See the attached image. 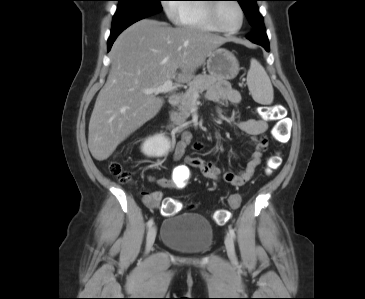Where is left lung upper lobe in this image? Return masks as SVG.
<instances>
[{"instance_id":"obj_1","label":"left lung upper lobe","mask_w":365,"mask_h":299,"mask_svg":"<svg viewBox=\"0 0 365 299\" xmlns=\"http://www.w3.org/2000/svg\"><path fill=\"white\" fill-rule=\"evenodd\" d=\"M240 3L249 23L252 27L264 25L263 17L259 13L258 6L256 4L259 0H237Z\"/></svg>"}]
</instances>
